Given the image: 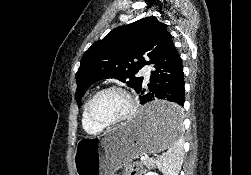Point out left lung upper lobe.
Instances as JSON below:
<instances>
[{
  "instance_id": "1",
  "label": "left lung upper lobe",
  "mask_w": 251,
  "mask_h": 175,
  "mask_svg": "<svg viewBox=\"0 0 251 175\" xmlns=\"http://www.w3.org/2000/svg\"><path fill=\"white\" fill-rule=\"evenodd\" d=\"M169 36L167 25L150 16L117 27L94 42L84 53L76 73L78 107L90 85L101 79L116 78L136 91L140 89L143 77H136V73L152 63Z\"/></svg>"
}]
</instances>
